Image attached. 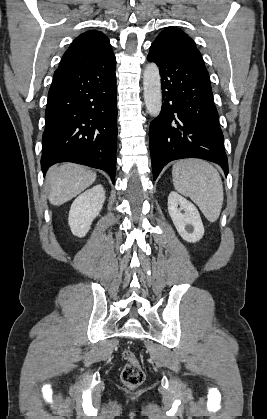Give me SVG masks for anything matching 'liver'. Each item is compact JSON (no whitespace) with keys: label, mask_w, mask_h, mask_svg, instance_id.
<instances>
[{"label":"liver","mask_w":267,"mask_h":419,"mask_svg":"<svg viewBox=\"0 0 267 419\" xmlns=\"http://www.w3.org/2000/svg\"><path fill=\"white\" fill-rule=\"evenodd\" d=\"M48 199L59 206L71 200L96 180V173L85 166L65 163L51 167L47 173Z\"/></svg>","instance_id":"obj_1"}]
</instances>
